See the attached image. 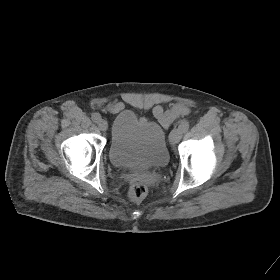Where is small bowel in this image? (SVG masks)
Listing matches in <instances>:
<instances>
[{
    "label": "small bowel",
    "mask_w": 280,
    "mask_h": 280,
    "mask_svg": "<svg viewBox=\"0 0 280 280\" xmlns=\"http://www.w3.org/2000/svg\"><path fill=\"white\" fill-rule=\"evenodd\" d=\"M123 107L121 102H116L108 105V110L110 112H116ZM189 113V108L182 103H175L170 109L164 110L161 106H156L154 108V114L156 118L160 120V122L164 126H169L174 119L185 116Z\"/></svg>",
    "instance_id": "small-bowel-1"
}]
</instances>
